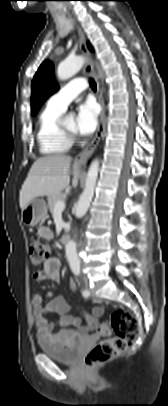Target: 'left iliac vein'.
I'll return each instance as SVG.
<instances>
[{
  "label": "left iliac vein",
  "mask_w": 168,
  "mask_h": 406,
  "mask_svg": "<svg viewBox=\"0 0 168 406\" xmlns=\"http://www.w3.org/2000/svg\"><path fill=\"white\" fill-rule=\"evenodd\" d=\"M86 287H87V289L91 292V290H90L89 287H88V284H86Z\"/></svg>",
  "instance_id": "left-iliac-vein-1"
}]
</instances>
